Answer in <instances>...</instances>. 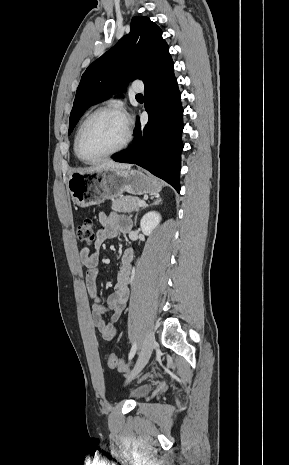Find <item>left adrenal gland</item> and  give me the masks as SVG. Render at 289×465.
Masks as SVG:
<instances>
[{
    "label": "left adrenal gland",
    "mask_w": 289,
    "mask_h": 465,
    "mask_svg": "<svg viewBox=\"0 0 289 465\" xmlns=\"http://www.w3.org/2000/svg\"><path fill=\"white\" fill-rule=\"evenodd\" d=\"M155 197H156V200L152 203V205L160 204L162 202V199L159 196H155ZM146 207H148V205H146L144 208H146ZM138 213H139V211L137 212V214L135 216L134 225H136Z\"/></svg>",
    "instance_id": "a2214340"
}]
</instances>
